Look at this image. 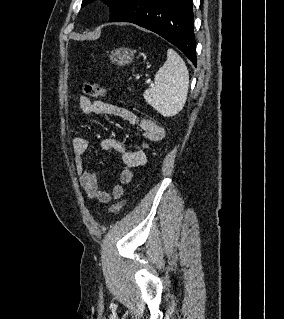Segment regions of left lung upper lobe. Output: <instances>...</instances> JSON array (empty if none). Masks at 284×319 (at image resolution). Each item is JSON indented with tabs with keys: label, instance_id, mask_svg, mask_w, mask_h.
<instances>
[{
	"label": "left lung upper lobe",
	"instance_id": "1",
	"mask_svg": "<svg viewBox=\"0 0 284 319\" xmlns=\"http://www.w3.org/2000/svg\"><path fill=\"white\" fill-rule=\"evenodd\" d=\"M94 0H83L82 7ZM110 7V18L116 15L128 0H104Z\"/></svg>",
	"mask_w": 284,
	"mask_h": 319
}]
</instances>
